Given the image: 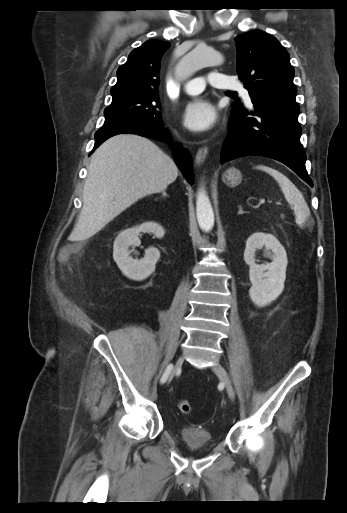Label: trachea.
I'll return each instance as SVG.
<instances>
[{"label": "trachea", "mask_w": 347, "mask_h": 513, "mask_svg": "<svg viewBox=\"0 0 347 513\" xmlns=\"http://www.w3.org/2000/svg\"><path fill=\"white\" fill-rule=\"evenodd\" d=\"M228 93H230V94H235V92H233V91H228Z\"/></svg>", "instance_id": "3493384b"}]
</instances>
